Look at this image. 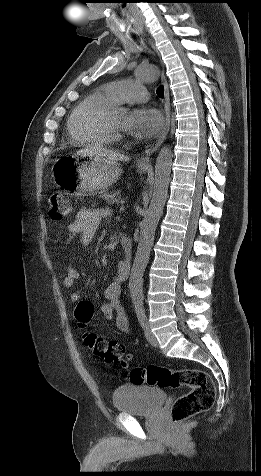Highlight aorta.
<instances>
[{"label":"aorta","mask_w":261,"mask_h":476,"mask_svg":"<svg viewBox=\"0 0 261 476\" xmlns=\"http://www.w3.org/2000/svg\"><path fill=\"white\" fill-rule=\"evenodd\" d=\"M136 73L138 78L145 82L156 81L159 74L154 65L140 66ZM172 158L171 149L164 147L156 159L152 198L141 223L139 243L129 278V290L135 307L143 305V274L149 261L155 231L167 200Z\"/></svg>","instance_id":"obj_1"}]
</instances>
